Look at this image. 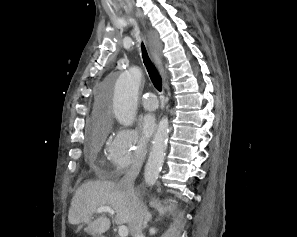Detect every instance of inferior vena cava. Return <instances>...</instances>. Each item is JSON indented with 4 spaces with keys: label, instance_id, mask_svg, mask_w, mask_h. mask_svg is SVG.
Wrapping results in <instances>:
<instances>
[{
    "label": "inferior vena cava",
    "instance_id": "inferior-vena-cava-1",
    "mask_svg": "<svg viewBox=\"0 0 297 237\" xmlns=\"http://www.w3.org/2000/svg\"><path fill=\"white\" fill-rule=\"evenodd\" d=\"M139 173V167L133 166L126 171L125 175L119 182V186L125 194L130 208L129 229L132 237H141L143 219L146 215L147 208L139 199L134 190V181Z\"/></svg>",
    "mask_w": 297,
    "mask_h": 237
}]
</instances>
